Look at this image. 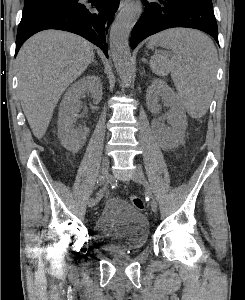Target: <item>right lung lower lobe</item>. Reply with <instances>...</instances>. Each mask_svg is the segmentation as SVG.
<instances>
[{
    "label": "right lung lower lobe",
    "mask_w": 245,
    "mask_h": 300,
    "mask_svg": "<svg viewBox=\"0 0 245 300\" xmlns=\"http://www.w3.org/2000/svg\"><path fill=\"white\" fill-rule=\"evenodd\" d=\"M118 6L119 0H76L23 15L17 31L15 56L33 34L45 29H58L86 38L108 57L105 32Z\"/></svg>",
    "instance_id": "right-lung-lower-lobe-1"
}]
</instances>
